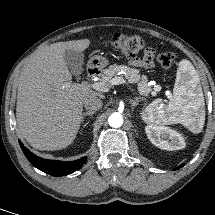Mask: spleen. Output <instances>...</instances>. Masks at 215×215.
I'll return each mask as SVG.
<instances>
[{
	"instance_id": "spleen-1",
	"label": "spleen",
	"mask_w": 215,
	"mask_h": 215,
	"mask_svg": "<svg viewBox=\"0 0 215 215\" xmlns=\"http://www.w3.org/2000/svg\"><path fill=\"white\" fill-rule=\"evenodd\" d=\"M198 75L188 60L179 63L173 96L166 104L153 101L142 118L155 125L182 124L193 133H199L205 121L204 97L197 88Z\"/></svg>"
}]
</instances>
